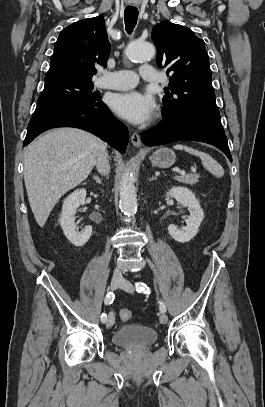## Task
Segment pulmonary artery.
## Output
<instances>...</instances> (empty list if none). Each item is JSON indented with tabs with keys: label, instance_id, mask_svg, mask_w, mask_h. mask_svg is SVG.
I'll use <instances>...</instances> for the list:
<instances>
[{
	"label": "pulmonary artery",
	"instance_id": "1",
	"mask_svg": "<svg viewBox=\"0 0 265 407\" xmlns=\"http://www.w3.org/2000/svg\"><path fill=\"white\" fill-rule=\"evenodd\" d=\"M139 77L147 82H157L159 78L158 73L151 65L141 66ZM139 77L131 70L103 71L97 81V86L113 90L131 89L137 85Z\"/></svg>",
	"mask_w": 265,
	"mask_h": 407
}]
</instances>
